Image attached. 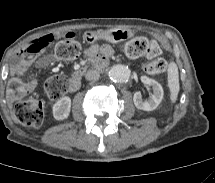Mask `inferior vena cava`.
I'll list each match as a JSON object with an SVG mask.
<instances>
[{"label": "inferior vena cava", "mask_w": 215, "mask_h": 183, "mask_svg": "<svg viewBox=\"0 0 215 183\" xmlns=\"http://www.w3.org/2000/svg\"><path fill=\"white\" fill-rule=\"evenodd\" d=\"M99 76L100 74L96 70H88L85 74L86 80H89V81H96L99 79Z\"/></svg>", "instance_id": "602c4592"}]
</instances>
